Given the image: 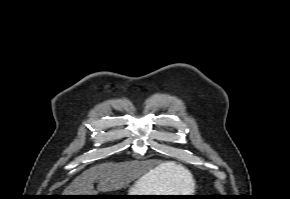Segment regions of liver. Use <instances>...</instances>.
<instances>
[{
  "label": "liver",
  "mask_w": 290,
  "mask_h": 199,
  "mask_svg": "<svg viewBox=\"0 0 290 199\" xmlns=\"http://www.w3.org/2000/svg\"><path fill=\"white\" fill-rule=\"evenodd\" d=\"M155 169L158 170L157 175L165 182V188L169 192L184 191L192 182L191 173L175 162L162 163ZM149 172L145 163L138 161L98 164L76 177L64 190L63 195H97L98 192L119 190ZM96 179L99 180L97 190L93 185Z\"/></svg>",
  "instance_id": "1"
}]
</instances>
